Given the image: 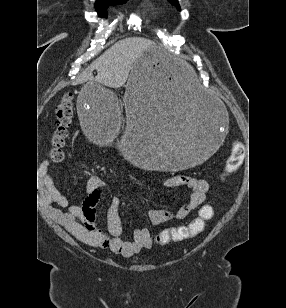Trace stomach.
<instances>
[{
  "instance_id": "obj_1",
  "label": "stomach",
  "mask_w": 286,
  "mask_h": 308,
  "mask_svg": "<svg viewBox=\"0 0 286 308\" xmlns=\"http://www.w3.org/2000/svg\"><path fill=\"white\" fill-rule=\"evenodd\" d=\"M181 51L149 48L133 65L124 104L127 137L123 159H135L146 173H181L205 164L219 144H227L224 100L202 86L199 73L188 69ZM77 124L97 149H112L111 133H127L123 103L110 85L88 83L75 97Z\"/></svg>"
}]
</instances>
